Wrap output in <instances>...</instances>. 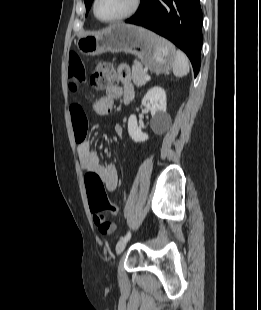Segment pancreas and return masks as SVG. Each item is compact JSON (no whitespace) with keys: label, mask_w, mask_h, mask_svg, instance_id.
Instances as JSON below:
<instances>
[{"label":"pancreas","mask_w":261,"mask_h":310,"mask_svg":"<svg viewBox=\"0 0 261 310\" xmlns=\"http://www.w3.org/2000/svg\"><path fill=\"white\" fill-rule=\"evenodd\" d=\"M145 75H147L146 71L141 64L135 63L132 66V81L136 86L140 87L146 84L147 80L144 79Z\"/></svg>","instance_id":"pancreas-1"}]
</instances>
